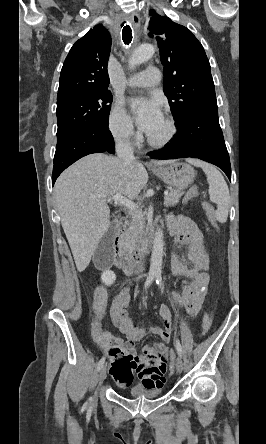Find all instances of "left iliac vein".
<instances>
[{"label": "left iliac vein", "mask_w": 266, "mask_h": 444, "mask_svg": "<svg viewBox=\"0 0 266 444\" xmlns=\"http://www.w3.org/2000/svg\"><path fill=\"white\" fill-rule=\"evenodd\" d=\"M176 371L178 374L182 373L183 371V360L181 356H178L176 359Z\"/></svg>", "instance_id": "obj_1"}]
</instances>
